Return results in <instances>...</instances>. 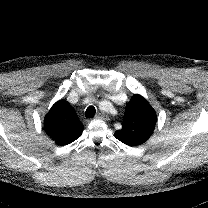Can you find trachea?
<instances>
[{
    "mask_svg": "<svg viewBox=\"0 0 208 208\" xmlns=\"http://www.w3.org/2000/svg\"><path fill=\"white\" fill-rule=\"evenodd\" d=\"M96 113V109L94 106H89L87 109H86V112H85V116L87 118H93L94 115Z\"/></svg>",
    "mask_w": 208,
    "mask_h": 208,
    "instance_id": "3493384b",
    "label": "trachea"
}]
</instances>
